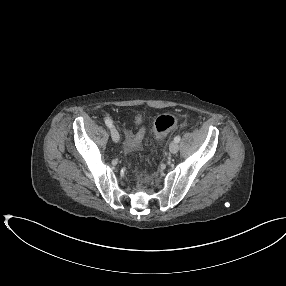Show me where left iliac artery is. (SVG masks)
I'll use <instances>...</instances> for the list:
<instances>
[{
    "label": "left iliac artery",
    "instance_id": "obj_1",
    "mask_svg": "<svg viewBox=\"0 0 286 286\" xmlns=\"http://www.w3.org/2000/svg\"><path fill=\"white\" fill-rule=\"evenodd\" d=\"M180 140H181V137L179 135L174 138V141L176 143H179Z\"/></svg>",
    "mask_w": 286,
    "mask_h": 286
}]
</instances>
